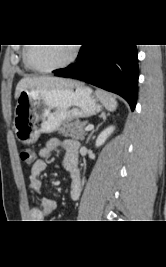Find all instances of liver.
Segmentation results:
<instances>
[{"label":"liver","instance_id":"6515ba94","mask_svg":"<svg viewBox=\"0 0 166 267\" xmlns=\"http://www.w3.org/2000/svg\"><path fill=\"white\" fill-rule=\"evenodd\" d=\"M78 83L69 79L51 76L25 77L21 79L15 90V99H18L24 89L73 88Z\"/></svg>","mask_w":166,"mask_h":267}]
</instances>
